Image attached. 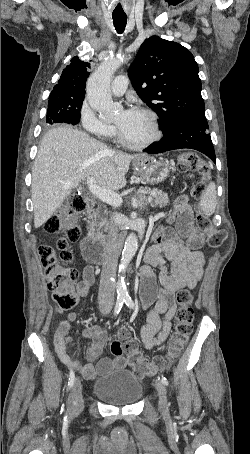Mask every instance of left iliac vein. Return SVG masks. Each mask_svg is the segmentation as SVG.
<instances>
[{"label": "left iliac vein", "mask_w": 250, "mask_h": 454, "mask_svg": "<svg viewBox=\"0 0 250 454\" xmlns=\"http://www.w3.org/2000/svg\"><path fill=\"white\" fill-rule=\"evenodd\" d=\"M155 388L159 395V409L162 413H166L168 412V401L165 386L159 379H156Z\"/></svg>", "instance_id": "left-iliac-vein-1"}]
</instances>
